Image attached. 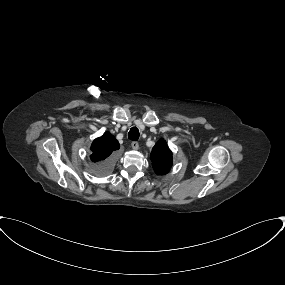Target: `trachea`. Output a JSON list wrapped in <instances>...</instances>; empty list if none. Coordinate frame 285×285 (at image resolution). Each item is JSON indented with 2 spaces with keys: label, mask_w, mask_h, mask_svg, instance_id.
Returning <instances> with one entry per match:
<instances>
[{
  "label": "trachea",
  "mask_w": 285,
  "mask_h": 285,
  "mask_svg": "<svg viewBox=\"0 0 285 285\" xmlns=\"http://www.w3.org/2000/svg\"><path fill=\"white\" fill-rule=\"evenodd\" d=\"M128 138L130 140L136 141L139 139V130L137 127H132L128 132Z\"/></svg>",
  "instance_id": "1"
}]
</instances>
